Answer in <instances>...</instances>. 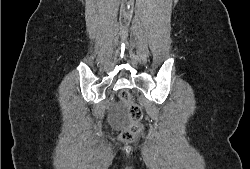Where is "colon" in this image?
Segmentation results:
<instances>
[{"instance_id":"obj_1","label":"colon","mask_w":250,"mask_h":169,"mask_svg":"<svg viewBox=\"0 0 250 169\" xmlns=\"http://www.w3.org/2000/svg\"><path fill=\"white\" fill-rule=\"evenodd\" d=\"M130 88H122L121 92H117V97L122 104L128 105V110H125V115H130L129 126H125V130H121V134H118V139L124 142H129L132 139H142V134L144 130L145 123L141 122L144 120V115H142V110L139 106L138 99H134L130 94ZM138 131V134H136Z\"/></svg>"}]
</instances>
